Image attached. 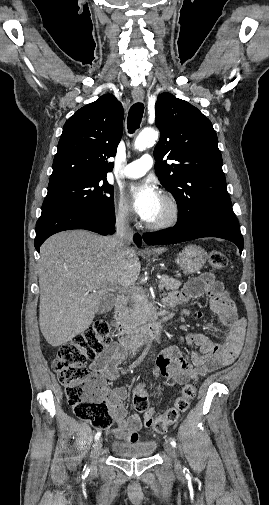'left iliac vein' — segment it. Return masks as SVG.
<instances>
[{
  "instance_id": "obj_1",
  "label": "left iliac vein",
  "mask_w": 269,
  "mask_h": 505,
  "mask_svg": "<svg viewBox=\"0 0 269 505\" xmlns=\"http://www.w3.org/2000/svg\"><path fill=\"white\" fill-rule=\"evenodd\" d=\"M164 448H165L166 452L168 453V455L173 459L175 469L177 471H180L181 470V465H180V462H179V460L177 458V454H176V451H175L174 447L171 446V445H169V444H165Z\"/></svg>"
}]
</instances>
